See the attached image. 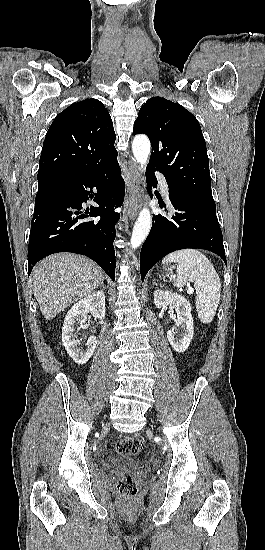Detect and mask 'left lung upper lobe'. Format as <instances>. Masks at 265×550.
<instances>
[{"label": "left lung upper lobe", "instance_id": "1", "mask_svg": "<svg viewBox=\"0 0 265 550\" xmlns=\"http://www.w3.org/2000/svg\"><path fill=\"white\" fill-rule=\"evenodd\" d=\"M133 133L149 137L152 153L148 167L165 176L172 193L216 206L206 143L194 115L179 104L153 97L141 107Z\"/></svg>", "mask_w": 265, "mask_h": 550}]
</instances>
